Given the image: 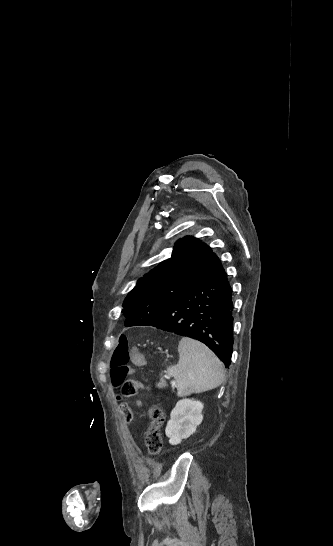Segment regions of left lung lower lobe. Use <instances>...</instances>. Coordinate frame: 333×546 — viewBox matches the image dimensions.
<instances>
[{
    "label": "left lung lower lobe",
    "instance_id": "0a47b994",
    "mask_svg": "<svg viewBox=\"0 0 333 546\" xmlns=\"http://www.w3.org/2000/svg\"><path fill=\"white\" fill-rule=\"evenodd\" d=\"M151 325L206 344L228 368L233 350L232 290L219 258L212 252L189 288L163 308L154 323L141 324L138 315L125 326Z\"/></svg>",
    "mask_w": 333,
    "mask_h": 546
}]
</instances>
